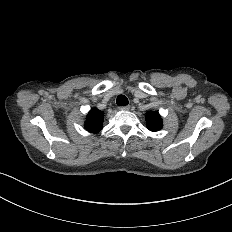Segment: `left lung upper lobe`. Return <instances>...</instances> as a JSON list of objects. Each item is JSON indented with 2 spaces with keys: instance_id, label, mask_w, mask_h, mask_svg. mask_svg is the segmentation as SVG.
I'll return each instance as SVG.
<instances>
[{
  "instance_id": "left-lung-upper-lobe-1",
  "label": "left lung upper lobe",
  "mask_w": 232,
  "mask_h": 232,
  "mask_svg": "<svg viewBox=\"0 0 232 232\" xmlns=\"http://www.w3.org/2000/svg\"><path fill=\"white\" fill-rule=\"evenodd\" d=\"M147 128L151 131H158L162 128V120L158 111H149L146 113Z\"/></svg>"
}]
</instances>
